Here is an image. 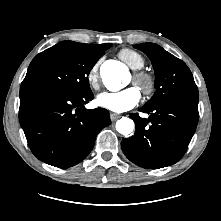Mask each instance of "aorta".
Here are the masks:
<instances>
[{
    "label": "aorta",
    "mask_w": 221,
    "mask_h": 221,
    "mask_svg": "<svg viewBox=\"0 0 221 221\" xmlns=\"http://www.w3.org/2000/svg\"><path fill=\"white\" fill-rule=\"evenodd\" d=\"M127 71L120 63L105 62L100 68L104 85L111 91H118L123 87L122 79ZM134 122L128 117H122L116 122V130L122 135H129L134 129Z\"/></svg>",
    "instance_id": "obj_1"
}]
</instances>
